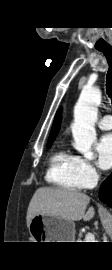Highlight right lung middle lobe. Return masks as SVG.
<instances>
[{
    "label": "right lung middle lobe",
    "mask_w": 112,
    "mask_h": 270,
    "mask_svg": "<svg viewBox=\"0 0 112 270\" xmlns=\"http://www.w3.org/2000/svg\"><path fill=\"white\" fill-rule=\"evenodd\" d=\"M52 142H53V141L48 142L47 148H49V147L51 146Z\"/></svg>",
    "instance_id": "dd1d6c3e"
}]
</instances>
